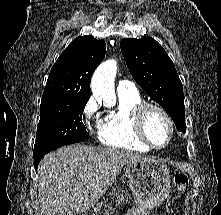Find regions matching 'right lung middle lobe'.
<instances>
[{
  "mask_svg": "<svg viewBox=\"0 0 221 215\" xmlns=\"http://www.w3.org/2000/svg\"><path fill=\"white\" fill-rule=\"evenodd\" d=\"M87 101L63 99L41 103L34 157L81 142L89 136L82 122Z\"/></svg>",
  "mask_w": 221,
  "mask_h": 215,
  "instance_id": "obj_1",
  "label": "right lung middle lobe"
}]
</instances>
